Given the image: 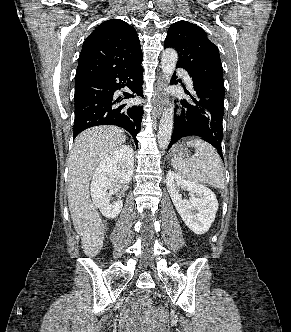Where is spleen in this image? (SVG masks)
<instances>
[{
  "label": "spleen",
  "instance_id": "spleen-1",
  "mask_svg": "<svg viewBox=\"0 0 291 332\" xmlns=\"http://www.w3.org/2000/svg\"><path fill=\"white\" fill-rule=\"evenodd\" d=\"M188 146L195 154L188 159H173L172 165L178 175L194 183H207L216 188H225L222 160L213 146L201 139H192Z\"/></svg>",
  "mask_w": 291,
  "mask_h": 332
}]
</instances>
